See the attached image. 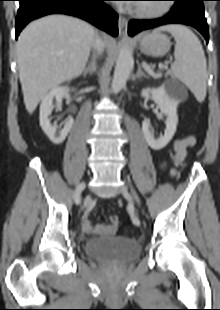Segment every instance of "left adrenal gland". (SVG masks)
<instances>
[{
  "label": "left adrenal gland",
  "instance_id": "1",
  "mask_svg": "<svg viewBox=\"0 0 220 310\" xmlns=\"http://www.w3.org/2000/svg\"><path fill=\"white\" fill-rule=\"evenodd\" d=\"M142 77H146L147 78L148 76L143 73V71L141 69V66L139 65L138 66V71L136 73V78L137 79H141Z\"/></svg>",
  "mask_w": 220,
  "mask_h": 310
}]
</instances>
